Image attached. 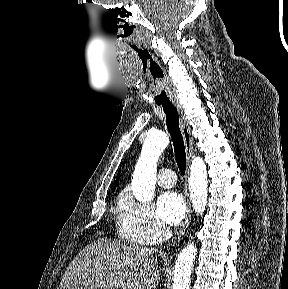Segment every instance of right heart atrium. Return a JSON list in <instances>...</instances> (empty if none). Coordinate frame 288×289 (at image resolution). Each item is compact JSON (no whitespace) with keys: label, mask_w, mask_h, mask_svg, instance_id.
I'll return each instance as SVG.
<instances>
[{"label":"right heart atrium","mask_w":288,"mask_h":289,"mask_svg":"<svg viewBox=\"0 0 288 289\" xmlns=\"http://www.w3.org/2000/svg\"><path fill=\"white\" fill-rule=\"evenodd\" d=\"M121 235L139 244H157L165 240L168 228L159 220L154 209L126 195L120 206Z\"/></svg>","instance_id":"obj_1"}]
</instances>
